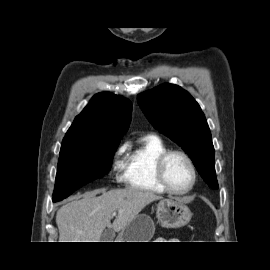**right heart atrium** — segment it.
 Segmentation results:
<instances>
[{"label": "right heart atrium", "instance_id": "obj_1", "mask_svg": "<svg viewBox=\"0 0 270 270\" xmlns=\"http://www.w3.org/2000/svg\"><path fill=\"white\" fill-rule=\"evenodd\" d=\"M127 149V144L120 145L113 156L111 163V170L115 175L116 181H121L123 179V170L125 169V161L123 159V154Z\"/></svg>", "mask_w": 270, "mask_h": 270}]
</instances>
